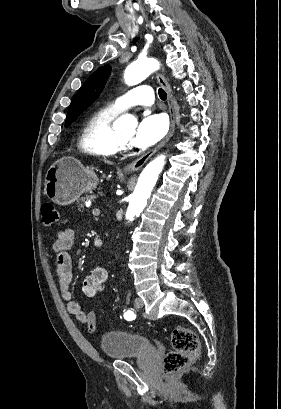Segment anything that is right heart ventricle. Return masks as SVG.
Segmentation results:
<instances>
[{"instance_id": "1", "label": "right heart ventricle", "mask_w": 281, "mask_h": 409, "mask_svg": "<svg viewBox=\"0 0 281 409\" xmlns=\"http://www.w3.org/2000/svg\"><path fill=\"white\" fill-rule=\"evenodd\" d=\"M117 111L103 108L94 112L83 130V145L87 153L96 158H109L115 154L111 143V130Z\"/></svg>"}]
</instances>
